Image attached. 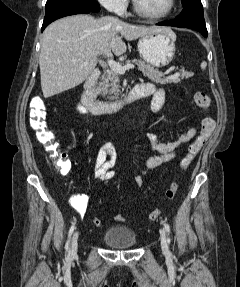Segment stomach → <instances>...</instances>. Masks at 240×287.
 <instances>
[{
	"mask_svg": "<svg viewBox=\"0 0 240 287\" xmlns=\"http://www.w3.org/2000/svg\"><path fill=\"white\" fill-rule=\"evenodd\" d=\"M176 35L171 32H160L145 35L138 41L141 58L155 67H164L175 57Z\"/></svg>",
	"mask_w": 240,
	"mask_h": 287,
	"instance_id": "0dacf381",
	"label": "stomach"
}]
</instances>
